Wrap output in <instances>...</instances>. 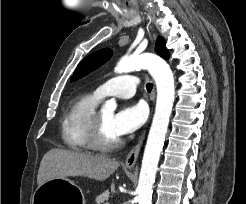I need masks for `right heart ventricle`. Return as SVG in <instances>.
<instances>
[{"mask_svg":"<svg viewBox=\"0 0 246 204\" xmlns=\"http://www.w3.org/2000/svg\"><path fill=\"white\" fill-rule=\"evenodd\" d=\"M99 98L85 94L73 99L62 120V138L67 147L76 151L91 149L89 129Z\"/></svg>","mask_w":246,"mask_h":204,"instance_id":"e07e8e85","label":"right heart ventricle"}]
</instances>
